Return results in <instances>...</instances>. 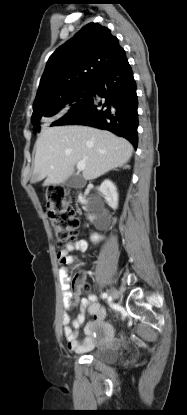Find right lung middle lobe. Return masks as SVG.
<instances>
[{
	"instance_id": "obj_1",
	"label": "right lung middle lobe",
	"mask_w": 187,
	"mask_h": 415,
	"mask_svg": "<svg viewBox=\"0 0 187 415\" xmlns=\"http://www.w3.org/2000/svg\"><path fill=\"white\" fill-rule=\"evenodd\" d=\"M92 91V83L76 87L67 92L60 100L46 106L33 108L31 117L32 123L35 125L34 132L38 129V124L45 120L46 117H52L59 112L76 105L82 99L88 97Z\"/></svg>"
}]
</instances>
